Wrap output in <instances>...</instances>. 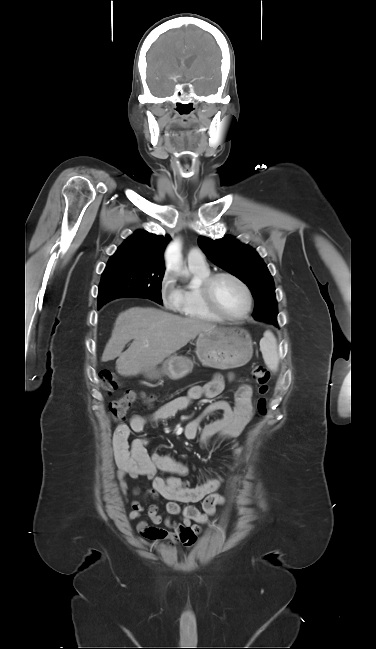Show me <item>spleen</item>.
<instances>
[{"mask_svg": "<svg viewBox=\"0 0 376 649\" xmlns=\"http://www.w3.org/2000/svg\"><path fill=\"white\" fill-rule=\"evenodd\" d=\"M260 350L266 366L276 372L279 366V357L277 352V341L271 332H266L260 340Z\"/></svg>", "mask_w": 376, "mask_h": 649, "instance_id": "spleen-1", "label": "spleen"}]
</instances>
